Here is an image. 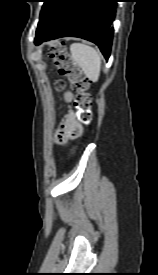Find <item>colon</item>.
Instances as JSON below:
<instances>
[{
    "mask_svg": "<svg viewBox=\"0 0 158 275\" xmlns=\"http://www.w3.org/2000/svg\"><path fill=\"white\" fill-rule=\"evenodd\" d=\"M51 58L59 69L60 74L66 77L77 91L75 106L77 109V120L82 124H89L92 119V96L87 92L89 82L80 67L75 63L71 54L64 44H57L51 49ZM65 87V82L57 81L56 89Z\"/></svg>",
    "mask_w": 158,
    "mask_h": 275,
    "instance_id": "1",
    "label": "colon"
}]
</instances>
